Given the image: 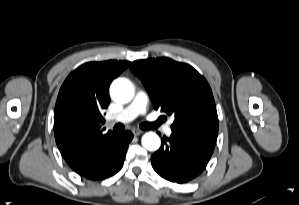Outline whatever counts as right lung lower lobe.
<instances>
[{
	"mask_svg": "<svg viewBox=\"0 0 299 205\" xmlns=\"http://www.w3.org/2000/svg\"><path fill=\"white\" fill-rule=\"evenodd\" d=\"M133 135L126 131L113 135L84 153L72 169L89 180H104L116 174L123 165Z\"/></svg>",
	"mask_w": 299,
	"mask_h": 205,
	"instance_id": "1",
	"label": "right lung lower lobe"
}]
</instances>
